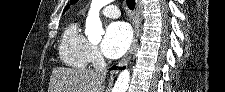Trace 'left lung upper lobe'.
Segmentation results:
<instances>
[{
    "label": "left lung upper lobe",
    "instance_id": "1",
    "mask_svg": "<svg viewBox=\"0 0 225 92\" xmlns=\"http://www.w3.org/2000/svg\"><path fill=\"white\" fill-rule=\"evenodd\" d=\"M78 0H71V3H76Z\"/></svg>",
    "mask_w": 225,
    "mask_h": 92
}]
</instances>
